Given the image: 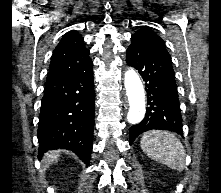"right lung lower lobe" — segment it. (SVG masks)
Instances as JSON below:
<instances>
[{"instance_id": "right-lung-lower-lobe-1", "label": "right lung lower lobe", "mask_w": 221, "mask_h": 193, "mask_svg": "<svg viewBox=\"0 0 221 193\" xmlns=\"http://www.w3.org/2000/svg\"><path fill=\"white\" fill-rule=\"evenodd\" d=\"M92 61L83 69L47 79L37 131L38 157L49 150L68 149L90 161L94 127Z\"/></svg>"}]
</instances>
